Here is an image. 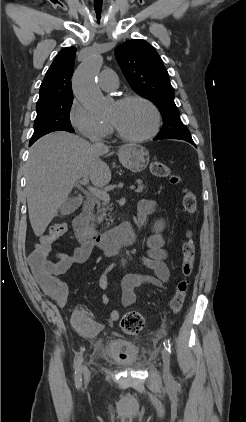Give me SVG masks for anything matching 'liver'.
Here are the masks:
<instances>
[{
  "label": "liver",
  "mask_w": 246,
  "mask_h": 422,
  "mask_svg": "<svg viewBox=\"0 0 246 422\" xmlns=\"http://www.w3.org/2000/svg\"><path fill=\"white\" fill-rule=\"evenodd\" d=\"M108 151L107 146L92 145L63 131L50 133L32 145L26 193L29 220L36 236L43 235L80 178L87 175L97 187L110 182V168L100 158Z\"/></svg>",
  "instance_id": "1"
}]
</instances>
